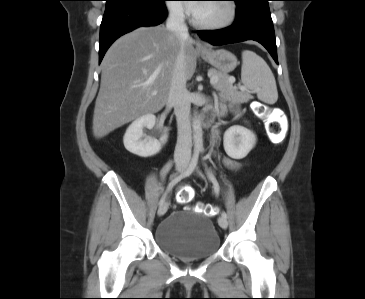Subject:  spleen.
<instances>
[{"instance_id": "spleen-1", "label": "spleen", "mask_w": 365, "mask_h": 299, "mask_svg": "<svg viewBox=\"0 0 365 299\" xmlns=\"http://www.w3.org/2000/svg\"><path fill=\"white\" fill-rule=\"evenodd\" d=\"M241 81L245 87L257 94L259 100L274 104L278 92L274 75L265 60L255 52H242Z\"/></svg>"}]
</instances>
